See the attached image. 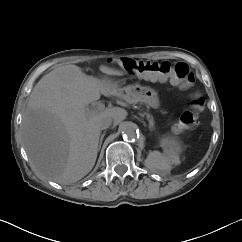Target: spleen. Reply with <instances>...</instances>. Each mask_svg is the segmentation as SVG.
<instances>
[{
	"mask_svg": "<svg viewBox=\"0 0 242 242\" xmlns=\"http://www.w3.org/2000/svg\"><path fill=\"white\" fill-rule=\"evenodd\" d=\"M146 162L152 169L169 172L172 169V165L179 162V155L172 149L167 150V152L163 154L154 151L148 155Z\"/></svg>",
	"mask_w": 242,
	"mask_h": 242,
	"instance_id": "obj_1",
	"label": "spleen"
}]
</instances>
